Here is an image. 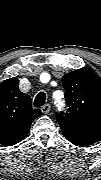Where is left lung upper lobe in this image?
Segmentation results:
<instances>
[{
  "instance_id": "5c2ea615",
  "label": "left lung upper lobe",
  "mask_w": 101,
  "mask_h": 180,
  "mask_svg": "<svg viewBox=\"0 0 101 180\" xmlns=\"http://www.w3.org/2000/svg\"><path fill=\"white\" fill-rule=\"evenodd\" d=\"M66 113H56L63 135L70 142L88 146L101 138V79L89 68L67 73L62 78Z\"/></svg>"
}]
</instances>
